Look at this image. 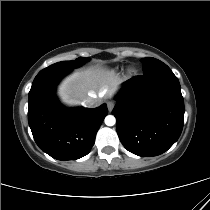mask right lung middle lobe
<instances>
[{
  "mask_svg": "<svg viewBox=\"0 0 210 210\" xmlns=\"http://www.w3.org/2000/svg\"><path fill=\"white\" fill-rule=\"evenodd\" d=\"M87 60H88V58L79 57V58H77L76 60H73V61H62V62L55 63L53 65H50L47 68H67V69H73L75 67H78L82 63L86 62Z\"/></svg>",
  "mask_w": 210,
  "mask_h": 210,
  "instance_id": "dd1d6c3e",
  "label": "right lung middle lobe"
}]
</instances>
